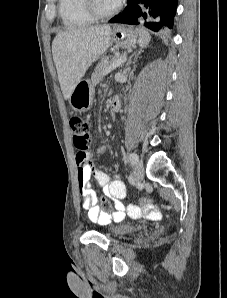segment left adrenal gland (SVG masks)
I'll list each match as a JSON object with an SVG mask.
<instances>
[{
    "instance_id": "obj_1",
    "label": "left adrenal gland",
    "mask_w": 227,
    "mask_h": 298,
    "mask_svg": "<svg viewBox=\"0 0 227 298\" xmlns=\"http://www.w3.org/2000/svg\"><path fill=\"white\" fill-rule=\"evenodd\" d=\"M143 52L142 49H140L137 53L134 52L128 59L127 63H126V67L130 66L131 62H132V58L135 57V59H137V57Z\"/></svg>"
}]
</instances>
